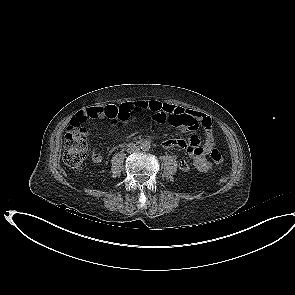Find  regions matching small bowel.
Instances as JSON below:
<instances>
[{"label":"small bowel","mask_w":295,"mask_h":295,"mask_svg":"<svg viewBox=\"0 0 295 295\" xmlns=\"http://www.w3.org/2000/svg\"><path fill=\"white\" fill-rule=\"evenodd\" d=\"M130 106L135 114L140 115L145 111H150L153 117L162 116L157 122L176 126L181 131H196L201 128L204 131V141L198 134L194 133L188 140L168 139L163 142L166 149L180 148L185 150L193 161V166L200 172H207L212 168V164L206 156L215 146V137L212 129V122L209 116L190 109H185L176 105L164 103L158 100H139L126 104ZM104 116V106H92L79 111L71 120L70 124L82 125L90 120ZM112 134H116L114 131ZM91 160L94 163H101L103 155L93 148ZM179 168L182 171L190 169L189 163L185 159L179 161Z\"/></svg>","instance_id":"small-bowel-1"}]
</instances>
